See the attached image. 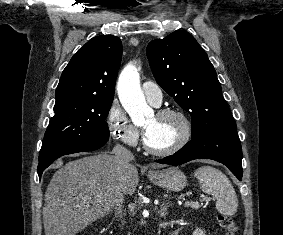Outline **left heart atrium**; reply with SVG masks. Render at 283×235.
I'll return each mask as SVG.
<instances>
[{
	"mask_svg": "<svg viewBox=\"0 0 283 235\" xmlns=\"http://www.w3.org/2000/svg\"><path fill=\"white\" fill-rule=\"evenodd\" d=\"M148 134V131H145V136Z\"/></svg>",
	"mask_w": 283,
	"mask_h": 235,
	"instance_id": "left-heart-atrium-1",
	"label": "left heart atrium"
}]
</instances>
